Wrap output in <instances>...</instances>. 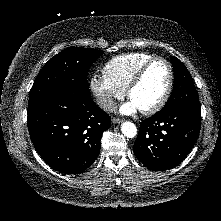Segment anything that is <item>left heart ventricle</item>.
Listing matches in <instances>:
<instances>
[{
  "mask_svg": "<svg viewBox=\"0 0 221 221\" xmlns=\"http://www.w3.org/2000/svg\"><path fill=\"white\" fill-rule=\"evenodd\" d=\"M168 81V70L161 61L154 62L146 71L141 82L131 92L130 100L138 109L153 106L163 95Z\"/></svg>",
  "mask_w": 221,
  "mask_h": 221,
  "instance_id": "b2bd125f",
  "label": "left heart ventricle"
}]
</instances>
